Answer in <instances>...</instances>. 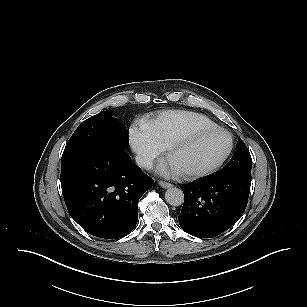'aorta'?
<instances>
[{"instance_id":"aorta-1","label":"aorta","mask_w":307,"mask_h":307,"mask_svg":"<svg viewBox=\"0 0 307 307\" xmlns=\"http://www.w3.org/2000/svg\"><path fill=\"white\" fill-rule=\"evenodd\" d=\"M165 200L171 206H180L184 202V193L179 188L170 187L165 192Z\"/></svg>"}]
</instances>
